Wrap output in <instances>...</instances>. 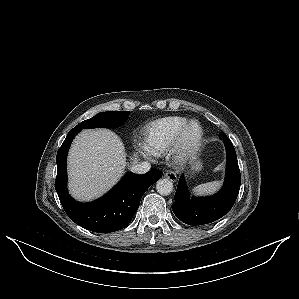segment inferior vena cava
<instances>
[{"label": "inferior vena cava", "mask_w": 299, "mask_h": 299, "mask_svg": "<svg viewBox=\"0 0 299 299\" xmlns=\"http://www.w3.org/2000/svg\"><path fill=\"white\" fill-rule=\"evenodd\" d=\"M150 168V163L146 161L134 164L131 167V171L135 174H145L150 170Z\"/></svg>", "instance_id": "inferior-vena-cava-1"}]
</instances>
